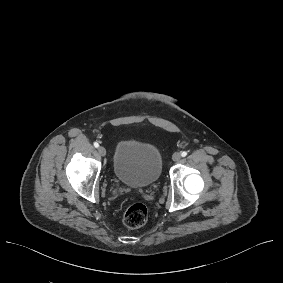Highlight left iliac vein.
I'll use <instances>...</instances> for the list:
<instances>
[{
  "label": "left iliac vein",
  "instance_id": "obj_1",
  "mask_svg": "<svg viewBox=\"0 0 283 283\" xmlns=\"http://www.w3.org/2000/svg\"><path fill=\"white\" fill-rule=\"evenodd\" d=\"M173 160L178 162L181 159V154L179 152H176L173 154Z\"/></svg>",
  "mask_w": 283,
  "mask_h": 283
}]
</instances>
